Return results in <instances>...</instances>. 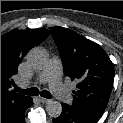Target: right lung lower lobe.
<instances>
[{"instance_id": "obj_1", "label": "right lung lower lobe", "mask_w": 123, "mask_h": 123, "mask_svg": "<svg viewBox=\"0 0 123 123\" xmlns=\"http://www.w3.org/2000/svg\"><path fill=\"white\" fill-rule=\"evenodd\" d=\"M33 104L30 97L24 105L1 113V123H25V111Z\"/></svg>"}]
</instances>
